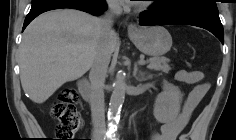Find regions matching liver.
<instances>
[{
	"label": "liver",
	"instance_id": "obj_1",
	"mask_svg": "<svg viewBox=\"0 0 236 140\" xmlns=\"http://www.w3.org/2000/svg\"><path fill=\"white\" fill-rule=\"evenodd\" d=\"M101 39L100 19L75 9L53 10L35 18L19 47L21 85L29 98L44 103L64 83L82 77ZM119 46L115 33L111 50Z\"/></svg>",
	"mask_w": 236,
	"mask_h": 140
}]
</instances>
